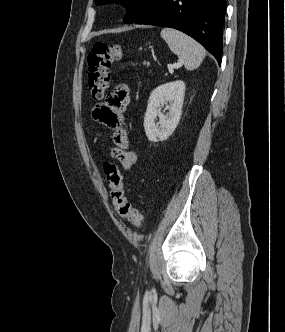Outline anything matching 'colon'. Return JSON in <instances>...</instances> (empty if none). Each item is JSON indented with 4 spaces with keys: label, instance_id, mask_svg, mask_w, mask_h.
Instances as JSON below:
<instances>
[{
    "label": "colon",
    "instance_id": "obj_1",
    "mask_svg": "<svg viewBox=\"0 0 285 332\" xmlns=\"http://www.w3.org/2000/svg\"><path fill=\"white\" fill-rule=\"evenodd\" d=\"M122 48L119 45H108L97 42L88 55V85L93 101L104 98L110 81V69L115 62H121ZM104 171L109 182L110 196L117 212L130 224L138 228L143 216L127 199L124 191L123 176L118 165L111 161L104 163Z\"/></svg>",
    "mask_w": 285,
    "mask_h": 332
}]
</instances>
